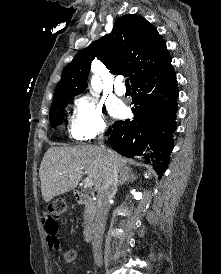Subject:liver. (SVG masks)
Listing matches in <instances>:
<instances>
[{"mask_svg": "<svg viewBox=\"0 0 221 274\" xmlns=\"http://www.w3.org/2000/svg\"><path fill=\"white\" fill-rule=\"evenodd\" d=\"M112 155L119 169L126 167V159L101 146L49 148L40 165L41 192L45 202L74 189L85 171L98 190L103 183L105 156Z\"/></svg>", "mask_w": 221, "mask_h": 274, "instance_id": "liver-1", "label": "liver"}]
</instances>
